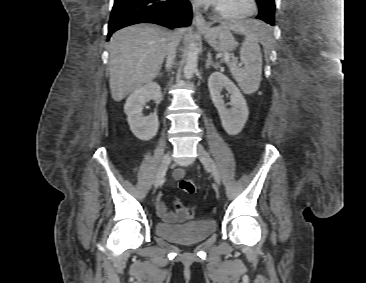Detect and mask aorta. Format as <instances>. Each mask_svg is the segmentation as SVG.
Listing matches in <instances>:
<instances>
[{
  "label": "aorta",
  "instance_id": "762f6f07",
  "mask_svg": "<svg viewBox=\"0 0 366 283\" xmlns=\"http://www.w3.org/2000/svg\"><path fill=\"white\" fill-rule=\"evenodd\" d=\"M198 56H199V49L197 45L194 42L190 43L187 52L186 64L184 66V77L186 79H191L195 74V72L197 71Z\"/></svg>",
  "mask_w": 366,
  "mask_h": 283
}]
</instances>
